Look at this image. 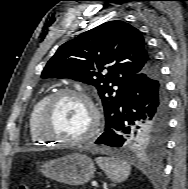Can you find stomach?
Returning <instances> with one entry per match:
<instances>
[{
    "mask_svg": "<svg viewBox=\"0 0 188 189\" xmlns=\"http://www.w3.org/2000/svg\"><path fill=\"white\" fill-rule=\"evenodd\" d=\"M40 172L48 178L78 186L93 177L95 166L88 156L74 153L43 163Z\"/></svg>",
    "mask_w": 188,
    "mask_h": 189,
    "instance_id": "1",
    "label": "stomach"
}]
</instances>
